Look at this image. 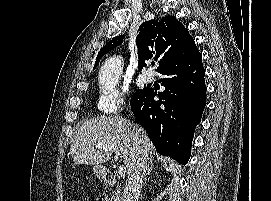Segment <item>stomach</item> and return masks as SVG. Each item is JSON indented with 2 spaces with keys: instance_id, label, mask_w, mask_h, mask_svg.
Segmentation results:
<instances>
[{
  "instance_id": "0dacf381",
  "label": "stomach",
  "mask_w": 271,
  "mask_h": 201,
  "mask_svg": "<svg viewBox=\"0 0 271 201\" xmlns=\"http://www.w3.org/2000/svg\"><path fill=\"white\" fill-rule=\"evenodd\" d=\"M93 172L95 176L102 177L105 172V168L103 166L97 165L93 168Z\"/></svg>"
}]
</instances>
